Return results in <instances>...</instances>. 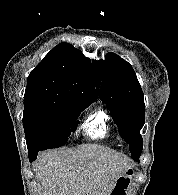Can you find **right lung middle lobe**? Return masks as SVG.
Listing matches in <instances>:
<instances>
[{"label":"right lung middle lobe","mask_w":178,"mask_h":195,"mask_svg":"<svg viewBox=\"0 0 178 195\" xmlns=\"http://www.w3.org/2000/svg\"><path fill=\"white\" fill-rule=\"evenodd\" d=\"M90 102L51 99H24L23 125L32 155L40 150L65 145L77 129L76 120Z\"/></svg>","instance_id":"right-lung-middle-lobe-1"}]
</instances>
